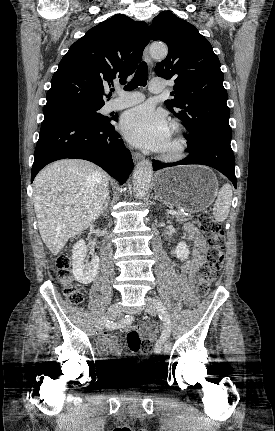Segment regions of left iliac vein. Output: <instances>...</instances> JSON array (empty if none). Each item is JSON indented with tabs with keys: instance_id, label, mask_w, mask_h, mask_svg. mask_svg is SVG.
Segmentation results:
<instances>
[{
	"instance_id": "left-iliac-vein-1",
	"label": "left iliac vein",
	"mask_w": 275,
	"mask_h": 431,
	"mask_svg": "<svg viewBox=\"0 0 275 431\" xmlns=\"http://www.w3.org/2000/svg\"><path fill=\"white\" fill-rule=\"evenodd\" d=\"M145 303H146L145 304V310H146V312L149 315L154 316L156 314V309H157V307H156V301L153 298H151L149 296H146ZM170 350H171V343L170 342H166L165 345L162 347V352L163 353H169Z\"/></svg>"
}]
</instances>
